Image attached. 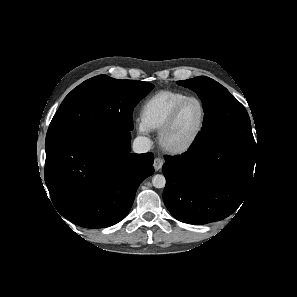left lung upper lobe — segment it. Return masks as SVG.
<instances>
[{"instance_id": "obj_1", "label": "left lung upper lobe", "mask_w": 297, "mask_h": 297, "mask_svg": "<svg viewBox=\"0 0 297 297\" xmlns=\"http://www.w3.org/2000/svg\"><path fill=\"white\" fill-rule=\"evenodd\" d=\"M177 84L198 94L205 113L203 128L191 148L216 141H235L256 148L247 111L225 87L206 76Z\"/></svg>"}]
</instances>
